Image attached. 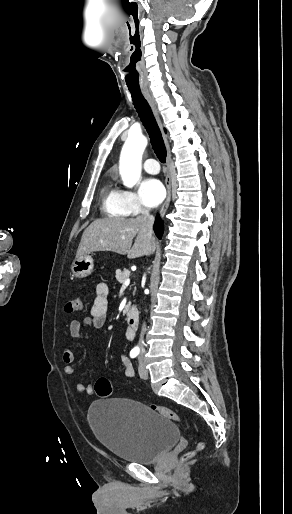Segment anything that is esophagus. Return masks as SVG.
<instances>
[{
    "label": "esophagus",
    "instance_id": "esophagus-1",
    "mask_svg": "<svg viewBox=\"0 0 292 514\" xmlns=\"http://www.w3.org/2000/svg\"><path fill=\"white\" fill-rule=\"evenodd\" d=\"M142 93L144 95V97L146 98V100L149 102L150 104V107L152 108L153 110V113L155 115V118L160 126V128L162 129V123H161V120L159 118V115L157 113V110H156V107H155V104L149 94V91L148 90H142ZM165 138V143H166V148H167V174H166V178H165V184H166V188H167V197H166V200L164 201V204L162 205L161 209H160V215L163 216L165 214V212L167 211L168 207H169V204H170V199H171V178H170V174H169V165H170V159H171V153H170V147H169V144L167 142V139L166 137Z\"/></svg>",
    "mask_w": 292,
    "mask_h": 514
}]
</instances>
